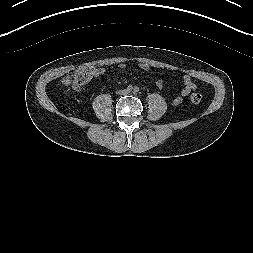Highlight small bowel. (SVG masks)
I'll use <instances>...</instances> for the list:
<instances>
[{"label": "small bowel", "mask_w": 253, "mask_h": 253, "mask_svg": "<svg viewBox=\"0 0 253 253\" xmlns=\"http://www.w3.org/2000/svg\"><path fill=\"white\" fill-rule=\"evenodd\" d=\"M103 72L102 69L93 68V71L91 73V76H99ZM183 90L181 91L182 96H186L190 93L191 90L195 89V84L192 81V78L190 75L186 74L183 76ZM77 90H80L79 88H76ZM180 98L175 99V102H179Z\"/></svg>", "instance_id": "1"}]
</instances>
